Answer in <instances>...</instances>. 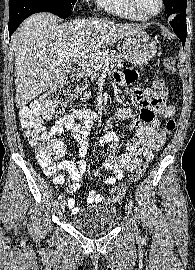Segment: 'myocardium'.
Instances as JSON below:
<instances>
[{
    "label": "myocardium",
    "instance_id": "obj_1",
    "mask_svg": "<svg viewBox=\"0 0 195 270\" xmlns=\"http://www.w3.org/2000/svg\"><path fill=\"white\" fill-rule=\"evenodd\" d=\"M128 1L131 8L144 19H150L158 16L164 8V0H159V9L155 13L145 14L139 9L136 0H128Z\"/></svg>",
    "mask_w": 195,
    "mask_h": 270
}]
</instances>
